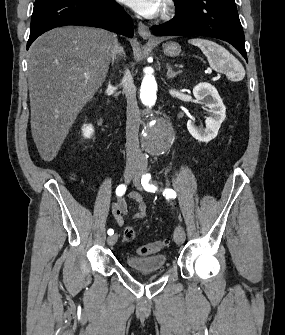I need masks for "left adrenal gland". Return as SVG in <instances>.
Instances as JSON below:
<instances>
[{"mask_svg":"<svg viewBox=\"0 0 285 335\" xmlns=\"http://www.w3.org/2000/svg\"><path fill=\"white\" fill-rule=\"evenodd\" d=\"M167 68V78L169 80V78H176V76H178V74H181V70H179V72H173L172 68H170L169 64H167L166 66Z\"/></svg>","mask_w":285,"mask_h":335,"instance_id":"a2214340","label":"left adrenal gland"}]
</instances>
